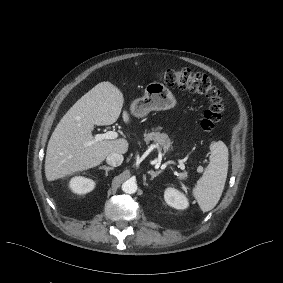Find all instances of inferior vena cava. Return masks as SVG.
Wrapping results in <instances>:
<instances>
[{"instance_id":"obj_1","label":"inferior vena cava","mask_w":283,"mask_h":283,"mask_svg":"<svg viewBox=\"0 0 283 283\" xmlns=\"http://www.w3.org/2000/svg\"><path fill=\"white\" fill-rule=\"evenodd\" d=\"M106 162L111 166L118 167L123 162V156L118 153H112L107 156Z\"/></svg>"}]
</instances>
